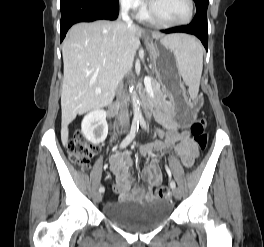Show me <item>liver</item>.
Wrapping results in <instances>:
<instances>
[{"label":"liver","instance_id":"liver-1","mask_svg":"<svg viewBox=\"0 0 264 247\" xmlns=\"http://www.w3.org/2000/svg\"><path fill=\"white\" fill-rule=\"evenodd\" d=\"M142 33L135 25L104 20L78 23L70 28L62 44L61 140L64 146L68 142V125L77 114L108 106L113 101L118 83L133 66ZM151 34L155 39L168 41L177 36Z\"/></svg>","mask_w":264,"mask_h":247}]
</instances>
